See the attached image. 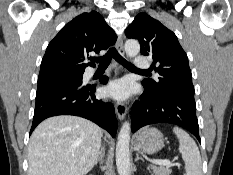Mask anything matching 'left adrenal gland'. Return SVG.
<instances>
[{
	"instance_id": "a2214340",
	"label": "left adrenal gland",
	"mask_w": 233,
	"mask_h": 175,
	"mask_svg": "<svg viewBox=\"0 0 233 175\" xmlns=\"http://www.w3.org/2000/svg\"><path fill=\"white\" fill-rule=\"evenodd\" d=\"M138 160H142V161H143V159L140 158L139 155L137 154V155H136V158H135V162H137Z\"/></svg>"
}]
</instances>
